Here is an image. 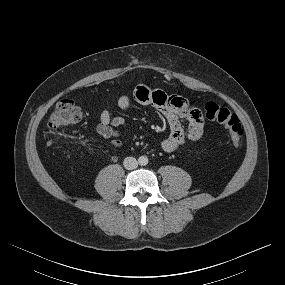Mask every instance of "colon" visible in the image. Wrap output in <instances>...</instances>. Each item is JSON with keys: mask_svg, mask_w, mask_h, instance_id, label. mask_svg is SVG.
Returning <instances> with one entry per match:
<instances>
[{"mask_svg": "<svg viewBox=\"0 0 285 285\" xmlns=\"http://www.w3.org/2000/svg\"><path fill=\"white\" fill-rule=\"evenodd\" d=\"M205 114L209 120L216 121L226 129L229 140L234 144H240L243 137L241 123L229 108L209 102L205 105ZM81 108L74 101L63 99L57 102L48 119L50 131H57L80 121Z\"/></svg>", "mask_w": 285, "mask_h": 285, "instance_id": "obj_1", "label": "colon"}]
</instances>
